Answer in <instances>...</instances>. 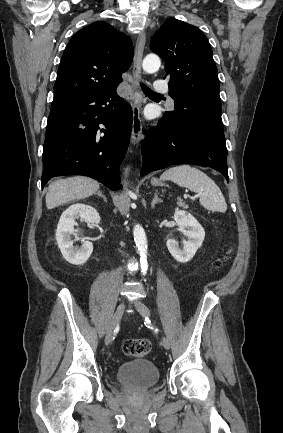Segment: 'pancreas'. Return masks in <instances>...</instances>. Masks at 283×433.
<instances>
[{
	"label": "pancreas",
	"instance_id": "obj_1",
	"mask_svg": "<svg viewBox=\"0 0 283 433\" xmlns=\"http://www.w3.org/2000/svg\"><path fill=\"white\" fill-rule=\"evenodd\" d=\"M185 208H187V204H184Z\"/></svg>",
	"mask_w": 283,
	"mask_h": 433
}]
</instances>
